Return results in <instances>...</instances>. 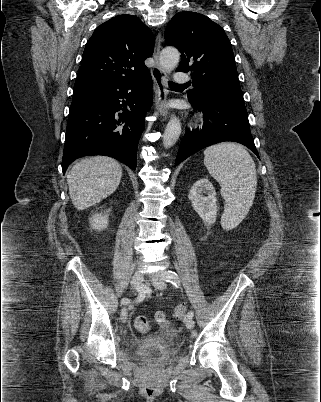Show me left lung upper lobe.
Here are the masks:
<instances>
[{"label": "left lung upper lobe", "instance_id": "obj_1", "mask_svg": "<svg viewBox=\"0 0 321 402\" xmlns=\"http://www.w3.org/2000/svg\"><path fill=\"white\" fill-rule=\"evenodd\" d=\"M165 41L181 52L178 71H191L194 89L187 93L189 100L197 101L212 89H240L231 43L208 17L177 13L166 27Z\"/></svg>", "mask_w": 321, "mask_h": 402}]
</instances>
